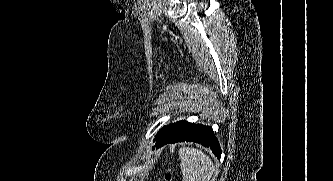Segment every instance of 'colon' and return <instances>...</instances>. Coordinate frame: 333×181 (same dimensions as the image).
<instances>
[{"label": "colon", "mask_w": 333, "mask_h": 181, "mask_svg": "<svg viewBox=\"0 0 333 181\" xmlns=\"http://www.w3.org/2000/svg\"><path fill=\"white\" fill-rule=\"evenodd\" d=\"M172 179H173V176L171 175V173H167L165 175V181H172Z\"/></svg>", "instance_id": "colon-1"}]
</instances>
